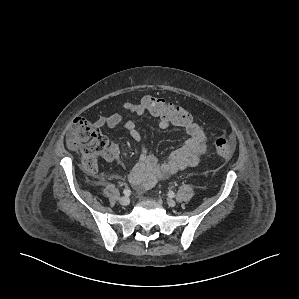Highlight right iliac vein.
Returning <instances> with one entry per match:
<instances>
[{"label": "right iliac vein", "instance_id": "obj_1", "mask_svg": "<svg viewBox=\"0 0 299 299\" xmlns=\"http://www.w3.org/2000/svg\"><path fill=\"white\" fill-rule=\"evenodd\" d=\"M119 203L123 206H127L130 203V199L127 196H123L119 199Z\"/></svg>", "mask_w": 299, "mask_h": 299}]
</instances>
